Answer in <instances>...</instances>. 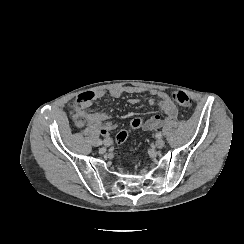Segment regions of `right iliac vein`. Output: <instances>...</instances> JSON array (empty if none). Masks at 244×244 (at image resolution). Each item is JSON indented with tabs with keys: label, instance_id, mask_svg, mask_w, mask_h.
<instances>
[{
	"label": "right iliac vein",
	"instance_id": "63e3f726",
	"mask_svg": "<svg viewBox=\"0 0 244 244\" xmlns=\"http://www.w3.org/2000/svg\"><path fill=\"white\" fill-rule=\"evenodd\" d=\"M112 144L111 138H105L104 139V145L109 147Z\"/></svg>",
	"mask_w": 244,
	"mask_h": 244
}]
</instances>
